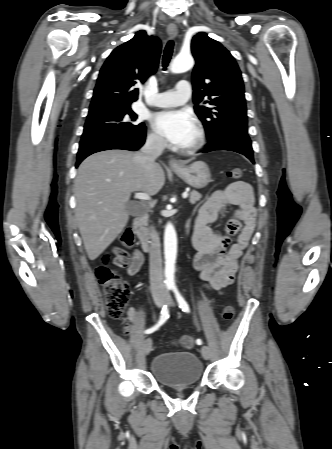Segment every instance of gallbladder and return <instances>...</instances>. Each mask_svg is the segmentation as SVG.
I'll use <instances>...</instances> for the list:
<instances>
[{
  "label": "gallbladder",
  "instance_id": "bac80fb5",
  "mask_svg": "<svg viewBox=\"0 0 332 449\" xmlns=\"http://www.w3.org/2000/svg\"><path fill=\"white\" fill-rule=\"evenodd\" d=\"M127 211L129 212L130 215L132 216H138L141 214V210L139 208V206L136 203H128L127 204Z\"/></svg>",
  "mask_w": 332,
  "mask_h": 449
}]
</instances>
